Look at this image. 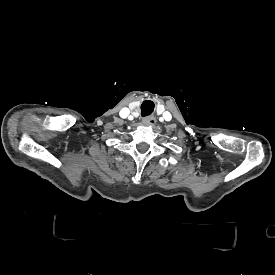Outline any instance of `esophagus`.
<instances>
[{
  "label": "esophagus",
  "mask_w": 275,
  "mask_h": 275,
  "mask_svg": "<svg viewBox=\"0 0 275 275\" xmlns=\"http://www.w3.org/2000/svg\"><path fill=\"white\" fill-rule=\"evenodd\" d=\"M156 122L157 121L154 116H147L142 119V123L146 126H153Z\"/></svg>",
  "instance_id": "esophagus-1"
}]
</instances>
